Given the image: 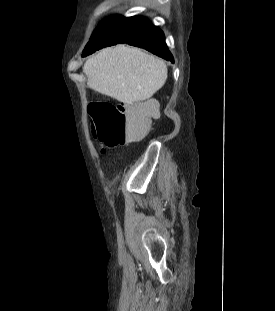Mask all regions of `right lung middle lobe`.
<instances>
[{
	"label": "right lung middle lobe",
	"instance_id": "1",
	"mask_svg": "<svg viewBox=\"0 0 275 311\" xmlns=\"http://www.w3.org/2000/svg\"><path fill=\"white\" fill-rule=\"evenodd\" d=\"M145 21L146 19L141 17H123L119 15L105 19L93 32L82 56H87L101 48L121 43L137 26Z\"/></svg>",
	"mask_w": 275,
	"mask_h": 311
}]
</instances>
